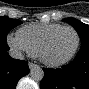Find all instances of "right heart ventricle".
Wrapping results in <instances>:
<instances>
[{"instance_id":"e07e8e85","label":"right heart ventricle","mask_w":89,"mask_h":89,"mask_svg":"<svg viewBox=\"0 0 89 89\" xmlns=\"http://www.w3.org/2000/svg\"><path fill=\"white\" fill-rule=\"evenodd\" d=\"M61 26L57 23L29 24L21 27L17 32V36L24 43L27 52L37 56L39 48L46 37Z\"/></svg>"}]
</instances>
